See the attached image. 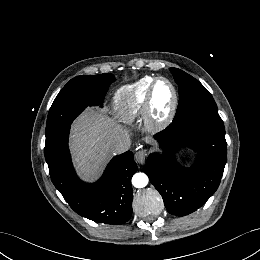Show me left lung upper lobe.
<instances>
[{"instance_id":"5c2ea615","label":"left lung upper lobe","mask_w":260,"mask_h":260,"mask_svg":"<svg viewBox=\"0 0 260 260\" xmlns=\"http://www.w3.org/2000/svg\"><path fill=\"white\" fill-rule=\"evenodd\" d=\"M170 71L179 86V103L174 121L198 110H217L212 95L195 78L177 68Z\"/></svg>"}]
</instances>
